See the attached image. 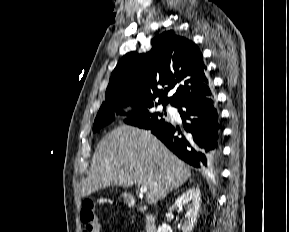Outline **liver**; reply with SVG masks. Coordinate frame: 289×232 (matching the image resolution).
<instances>
[{"mask_svg": "<svg viewBox=\"0 0 289 232\" xmlns=\"http://www.w3.org/2000/svg\"><path fill=\"white\" fill-rule=\"evenodd\" d=\"M191 177V169L149 131L120 126L97 145L81 196L110 185L146 186L148 204H156Z\"/></svg>", "mask_w": 289, "mask_h": 232, "instance_id": "6515ba94", "label": "liver"}]
</instances>
